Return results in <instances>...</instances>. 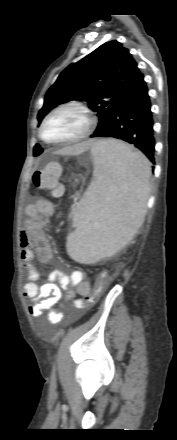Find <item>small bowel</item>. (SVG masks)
Masks as SVG:
<instances>
[{"label": "small bowel", "mask_w": 177, "mask_h": 440, "mask_svg": "<svg viewBox=\"0 0 177 440\" xmlns=\"http://www.w3.org/2000/svg\"><path fill=\"white\" fill-rule=\"evenodd\" d=\"M54 211L53 203L46 200H38L26 207L28 219L21 235L20 257L28 279L22 288V294L30 300V315L39 317L44 311H50L49 320L58 323L64 318V314L53 308L62 299L71 301L76 296L88 295L91 285L81 271L75 270L67 274L59 269L48 274L46 283L37 284L39 273L33 265L35 255L44 264H52L54 261L49 242L43 234L44 220L51 217Z\"/></svg>", "instance_id": "small-bowel-1"}]
</instances>
